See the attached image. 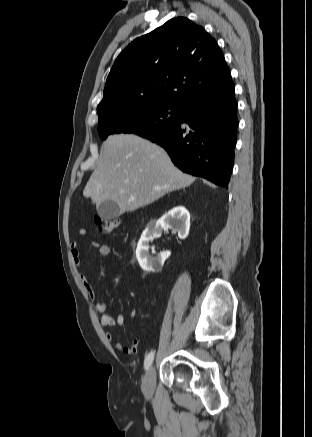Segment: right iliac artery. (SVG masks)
Returning <instances> with one entry per match:
<instances>
[{
	"label": "right iliac artery",
	"mask_w": 312,
	"mask_h": 437,
	"mask_svg": "<svg viewBox=\"0 0 312 437\" xmlns=\"http://www.w3.org/2000/svg\"><path fill=\"white\" fill-rule=\"evenodd\" d=\"M154 360V351H151L145 358L144 361V367L145 369H149V367L151 366L152 362Z\"/></svg>",
	"instance_id": "1"
}]
</instances>
